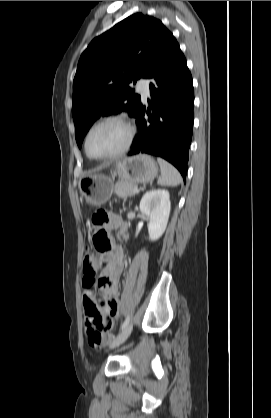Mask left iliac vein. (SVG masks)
<instances>
[{"mask_svg":"<svg viewBox=\"0 0 271 418\" xmlns=\"http://www.w3.org/2000/svg\"><path fill=\"white\" fill-rule=\"evenodd\" d=\"M132 331V324L128 325L117 337L110 343V348H115L121 345L130 335Z\"/></svg>","mask_w":271,"mask_h":418,"instance_id":"left-iliac-vein-1","label":"left iliac vein"}]
</instances>
